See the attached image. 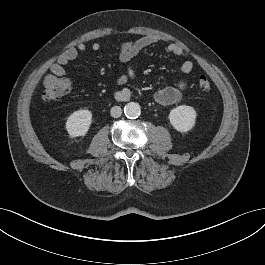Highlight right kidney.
<instances>
[{
	"mask_svg": "<svg viewBox=\"0 0 265 265\" xmlns=\"http://www.w3.org/2000/svg\"><path fill=\"white\" fill-rule=\"evenodd\" d=\"M92 113L89 110H78L72 113L66 121V130L70 137L84 136L91 125Z\"/></svg>",
	"mask_w": 265,
	"mask_h": 265,
	"instance_id": "obj_1",
	"label": "right kidney"
}]
</instances>
